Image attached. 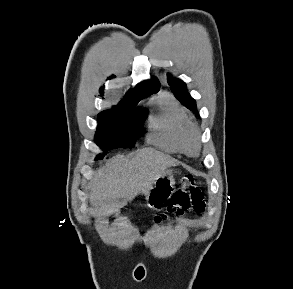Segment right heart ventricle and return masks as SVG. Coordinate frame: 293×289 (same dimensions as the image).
<instances>
[{"mask_svg": "<svg viewBox=\"0 0 293 289\" xmlns=\"http://www.w3.org/2000/svg\"><path fill=\"white\" fill-rule=\"evenodd\" d=\"M150 108L148 140L167 152H180L179 135L190 122L185 111L167 92L154 97Z\"/></svg>", "mask_w": 293, "mask_h": 289, "instance_id": "1", "label": "right heart ventricle"}]
</instances>
